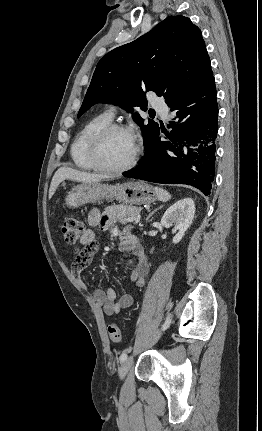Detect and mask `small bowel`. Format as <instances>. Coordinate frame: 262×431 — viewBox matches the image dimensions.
<instances>
[{
  "mask_svg": "<svg viewBox=\"0 0 262 431\" xmlns=\"http://www.w3.org/2000/svg\"><path fill=\"white\" fill-rule=\"evenodd\" d=\"M88 223L90 228L87 229L80 238V244L85 247V250L73 258L71 265V274L78 286L82 289H87L89 287L82 278L81 273L89 266L99 249L95 241L96 228L101 230L111 229L114 234L120 235L122 240L121 247L130 252L127 258V264L131 268V280L136 286H142L149 269V264L145 256L144 248L133 232V227L131 225H125L122 228L111 226V221L107 215L97 208L89 212ZM94 297L107 316H112L133 304L132 295L124 294L118 299L116 291L112 287L108 288L105 292L95 291Z\"/></svg>",
  "mask_w": 262,
  "mask_h": 431,
  "instance_id": "obj_1",
  "label": "small bowel"
}]
</instances>
